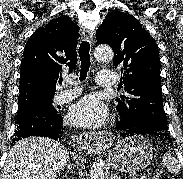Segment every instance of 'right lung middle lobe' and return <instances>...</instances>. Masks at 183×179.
<instances>
[{"label": "right lung middle lobe", "mask_w": 183, "mask_h": 179, "mask_svg": "<svg viewBox=\"0 0 183 179\" xmlns=\"http://www.w3.org/2000/svg\"><path fill=\"white\" fill-rule=\"evenodd\" d=\"M54 94H30L18 99L17 125L34 114L53 115L57 110L52 105Z\"/></svg>", "instance_id": "obj_1"}]
</instances>
